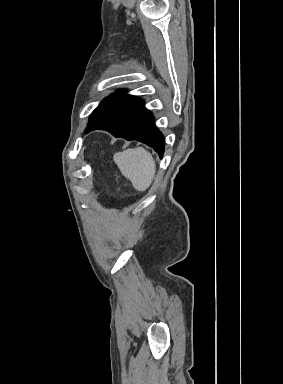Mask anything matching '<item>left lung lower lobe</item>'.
<instances>
[{"label": "left lung lower lobe", "instance_id": "left-lung-lower-lobe-1", "mask_svg": "<svg viewBox=\"0 0 283 384\" xmlns=\"http://www.w3.org/2000/svg\"><path fill=\"white\" fill-rule=\"evenodd\" d=\"M102 129L115 137L137 140L154 148L160 158L164 153V137L155 127L153 116L144 107V101L127 95L101 116L89 123L85 133Z\"/></svg>", "mask_w": 283, "mask_h": 384}]
</instances>
